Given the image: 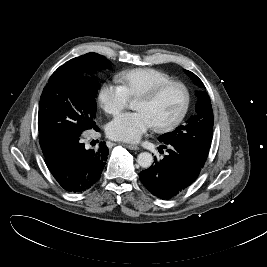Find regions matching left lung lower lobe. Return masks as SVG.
<instances>
[{"label":"left lung lower lobe","instance_id":"0a47b994","mask_svg":"<svg viewBox=\"0 0 267 267\" xmlns=\"http://www.w3.org/2000/svg\"><path fill=\"white\" fill-rule=\"evenodd\" d=\"M168 154L148 169L140 172L143 185L161 199H170L190 186L199 176L205 159L186 145L165 144Z\"/></svg>","mask_w":267,"mask_h":267}]
</instances>
